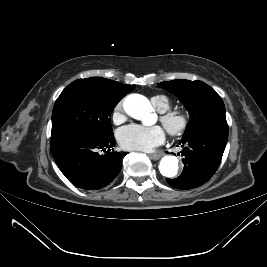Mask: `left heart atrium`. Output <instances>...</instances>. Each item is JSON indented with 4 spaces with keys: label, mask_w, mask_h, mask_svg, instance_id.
<instances>
[{
    "label": "left heart atrium",
    "mask_w": 267,
    "mask_h": 267,
    "mask_svg": "<svg viewBox=\"0 0 267 267\" xmlns=\"http://www.w3.org/2000/svg\"><path fill=\"white\" fill-rule=\"evenodd\" d=\"M117 138L127 150L150 151L164 142L165 132L160 126L130 124L118 131Z\"/></svg>",
    "instance_id": "left-heart-atrium-1"
}]
</instances>
